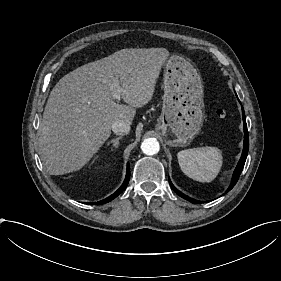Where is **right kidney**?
Here are the masks:
<instances>
[{"mask_svg": "<svg viewBox=\"0 0 281 281\" xmlns=\"http://www.w3.org/2000/svg\"><path fill=\"white\" fill-rule=\"evenodd\" d=\"M99 167L102 169L104 167V164L100 165Z\"/></svg>", "mask_w": 281, "mask_h": 281, "instance_id": "right-kidney-1", "label": "right kidney"}]
</instances>
